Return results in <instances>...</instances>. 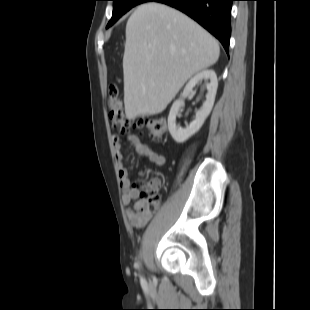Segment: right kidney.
<instances>
[{
	"instance_id": "1",
	"label": "right kidney",
	"mask_w": 310,
	"mask_h": 310,
	"mask_svg": "<svg viewBox=\"0 0 310 310\" xmlns=\"http://www.w3.org/2000/svg\"><path fill=\"white\" fill-rule=\"evenodd\" d=\"M202 80H210V83L207 86L208 93L206 95V101L203 103L202 108L196 112L195 119L185 128H181L176 125V116L179 113V109L184 105V98L187 97L192 92L193 88ZM217 87V76L212 69L200 71L186 84L181 97L173 103L168 116L169 132L177 143H184L200 130L213 108Z\"/></svg>"
}]
</instances>
